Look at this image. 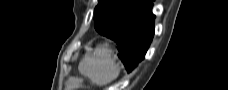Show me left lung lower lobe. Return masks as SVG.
I'll return each mask as SVG.
<instances>
[{
	"instance_id": "0a47b994",
	"label": "left lung lower lobe",
	"mask_w": 228,
	"mask_h": 90,
	"mask_svg": "<svg viewBox=\"0 0 228 90\" xmlns=\"http://www.w3.org/2000/svg\"><path fill=\"white\" fill-rule=\"evenodd\" d=\"M130 2H132L133 9L123 11L119 20L101 33L117 44L118 56L127 72H131L144 59L154 35L155 18L151 11L152 0Z\"/></svg>"
}]
</instances>
